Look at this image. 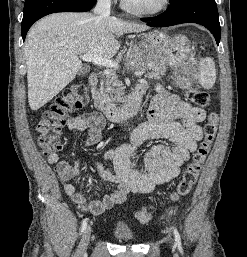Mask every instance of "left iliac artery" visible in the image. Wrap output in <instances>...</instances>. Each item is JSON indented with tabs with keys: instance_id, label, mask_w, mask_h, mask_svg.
<instances>
[{
	"instance_id": "obj_1",
	"label": "left iliac artery",
	"mask_w": 247,
	"mask_h": 257,
	"mask_svg": "<svg viewBox=\"0 0 247 257\" xmlns=\"http://www.w3.org/2000/svg\"><path fill=\"white\" fill-rule=\"evenodd\" d=\"M173 232H174L176 244H177L178 248L181 250L182 246H181V239H180L179 232L175 227H173Z\"/></svg>"
}]
</instances>
